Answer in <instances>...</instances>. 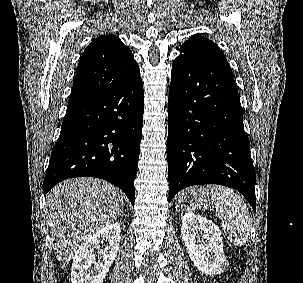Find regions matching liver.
Here are the masks:
<instances>
[{"label":"liver","mask_w":303,"mask_h":283,"mask_svg":"<svg viewBox=\"0 0 303 283\" xmlns=\"http://www.w3.org/2000/svg\"><path fill=\"white\" fill-rule=\"evenodd\" d=\"M123 206V192L103 180L68 179L55 186L47 195L45 215L61 267L88 237L113 223Z\"/></svg>","instance_id":"obj_1"}]
</instances>
